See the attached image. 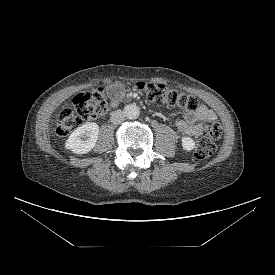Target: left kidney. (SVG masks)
<instances>
[{
    "label": "left kidney",
    "instance_id": "5707ae66",
    "mask_svg": "<svg viewBox=\"0 0 275 275\" xmlns=\"http://www.w3.org/2000/svg\"><path fill=\"white\" fill-rule=\"evenodd\" d=\"M182 146L183 149L186 151H191L194 149L195 147V142L192 138L190 137H183L182 138Z\"/></svg>",
    "mask_w": 275,
    "mask_h": 275
}]
</instances>
